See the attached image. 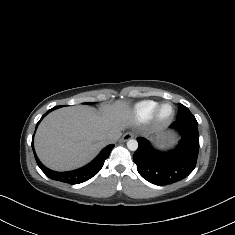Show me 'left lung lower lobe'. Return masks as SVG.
I'll use <instances>...</instances> for the list:
<instances>
[{"label":"left lung lower lobe","instance_id":"0a47b994","mask_svg":"<svg viewBox=\"0 0 235 235\" xmlns=\"http://www.w3.org/2000/svg\"><path fill=\"white\" fill-rule=\"evenodd\" d=\"M171 128L177 130L182 139L170 151L155 150L143 137H138V149L133 155L137 171L147 181L166 185L188 176L195 168L199 152L198 123L192 120H176Z\"/></svg>","mask_w":235,"mask_h":235}]
</instances>
